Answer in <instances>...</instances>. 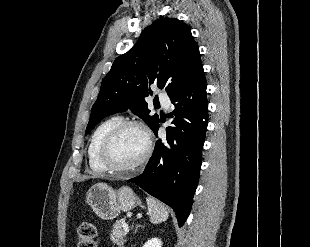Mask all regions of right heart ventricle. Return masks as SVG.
<instances>
[{"instance_id":"e07e8e85","label":"right heart ventricle","mask_w":310,"mask_h":247,"mask_svg":"<svg viewBox=\"0 0 310 247\" xmlns=\"http://www.w3.org/2000/svg\"><path fill=\"white\" fill-rule=\"evenodd\" d=\"M121 120L120 116H111L101 122L91 135L88 146V162L90 168L95 173L106 172L105 168L99 161V148L107 133Z\"/></svg>"}]
</instances>
